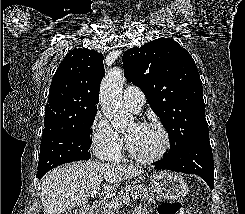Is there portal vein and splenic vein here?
I'll use <instances>...</instances> for the list:
<instances>
[{"label":"portal vein and splenic vein","instance_id":"portal-vein-and-splenic-vein-1","mask_svg":"<svg viewBox=\"0 0 245 214\" xmlns=\"http://www.w3.org/2000/svg\"><path fill=\"white\" fill-rule=\"evenodd\" d=\"M94 195H96V190H95V189H93V190L91 191V196H94Z\"/></svg>","mask_w":245,"mask_h":214}]
</instances>
